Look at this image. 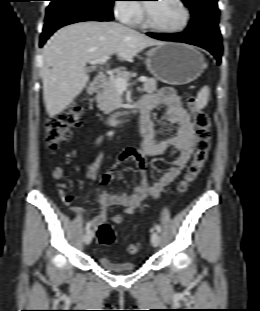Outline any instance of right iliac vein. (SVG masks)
<instances>
[{"label":"right iliac vein","instance_id":"63e3f726","mask_svg":"<svg viewBox=\"0 0 260 311\" xmlns=\"http://www.w3.org/2000/svg\"><path fill=\"white\" fill-rule=\"evenodd\" d=\"M92 237H93L92 232L90 230L87 231L85 236H84V243L86 245H89L91 243V241H92Z\"/></svg>","mask_w":260,"mask_h":311}]
</instances>
